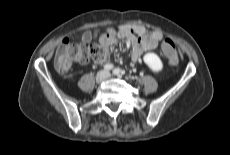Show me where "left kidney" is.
Returning <instances> with one entry per match:
<instances>
[{
  "label": "left kidney",
  "instance_id": "obj_1",
  "mask_svg": "<svg viewBox=\"0 0 230 155\" xmlns=\"http://www.w3.org/2000/svg\"><path fill=\"white\" fill-rule=\"evenodd\" d=\"M145 64L153 71L160 72L163 68V63L159 56L155 53H146L143 57Z\"/></svg>",
  "mask_w": 230,
  "mask_h": 155
}]
</instances>
